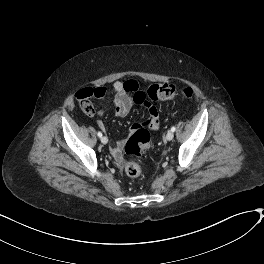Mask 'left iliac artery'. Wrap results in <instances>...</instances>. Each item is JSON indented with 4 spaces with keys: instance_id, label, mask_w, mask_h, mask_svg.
Listing matches in <instances>:
<instances>
[{
    "instance_id": "obj_1",
    "label": "left iliac artery",
    "mask_w": 264,
    "mask_h": 264,
    "mask_svg": "<svg viewBox=\"0 0 264 264\" xmlns=\"http://www.w3.org/2000/svg\"><path fill=\"white\" fill-rule=\"evenodd\" d=\"M175 130H176V128L173 126V127L171 128V131L174 132Z\"/></svg>"
}]
</instances>
